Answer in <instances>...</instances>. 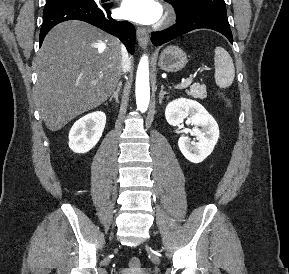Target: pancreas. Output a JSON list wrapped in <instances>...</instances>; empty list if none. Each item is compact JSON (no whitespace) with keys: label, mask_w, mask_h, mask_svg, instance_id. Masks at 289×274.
<instances>
[{"label":"pancreas","mask_w":289,"mask_h":274,"mask_svg":"<svg viewBox=\"0 0 289 274\" xmlns=\"http://www.w3.org/2000/svg\"><path fill=\"white\" fill-rule=\"evenodd\" d=\"M187 94L199 99H204L207 96L206 86L200 83H194L190 86V90L187 91Z\"/></svg>","instance_id":"1"}]
</instances>
